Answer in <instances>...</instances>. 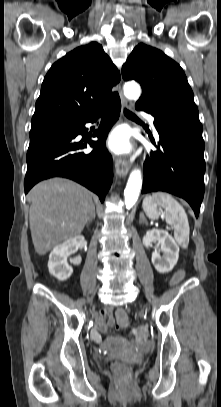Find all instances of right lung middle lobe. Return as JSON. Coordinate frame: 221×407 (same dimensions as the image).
<instances>
[{
  "instance_id": "obj_1",
  "label": "right lung middle lobe",
  "mask_w": 221,
  "mask_h": 407,
  "mask_svg": "<svg viewBox=\"0 0 221 407\" xmlns=\"http://www.w3.org/2000/svg\"><path fill=\"white\" fill-rule=\"evenodd\" d=\"M45 127H47V126H45ZM40 128H43V127H40ZM36 129H39V128H31V131L36 130Z\"/></svg>"
}]
</instances>
